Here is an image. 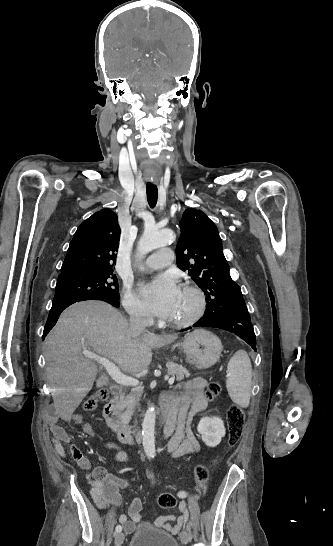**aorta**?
Here are the masks:
<instances>
[{
	"label": "aorta",
	"instance_id": "obj_1",
	"mask_svg": "<svg viewBox=\"0 0 333 546\" xmlns=\"http://www.w3.org/2000/svg\"><path fill=\"white\" fill-rule=\"evenodd\" d=\"M174 238V233L171 230L146 229L138 242L137 255L140 258L144 257L149 252L166 246L168 243L173 241ZM155 420V407L151 405L146 410L142 423V444L144 452L147 455H154L156 452L154 438Z\"/></svg>",
	"mask_w": 333,
	"mask_h": 546
}]
</instances>
